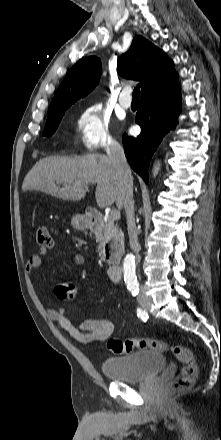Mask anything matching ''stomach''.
Segmentation results:
<instances>
[{"mask_svg": "<svg viewBox=\"0 0 221 440\" xmlns=\"http://www.w3.org/2000/svg\"><path fill=\"white\" fill-rule=\"evenodd\" d=\"M71 224L77 230H85L91 226V221L87 216L77 214L73 216Z\"/></svg>", "mask_w": 221, "mask_h": 440, "instance_id": "stomach-1", "label": "stomach"}]
</instances>
